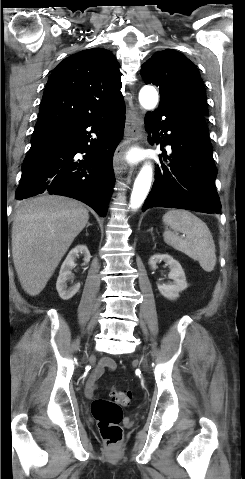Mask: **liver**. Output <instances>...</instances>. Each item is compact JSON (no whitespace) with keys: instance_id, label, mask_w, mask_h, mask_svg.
<instances>
[{"instance_id":"1","label":"liver","mask_w":245,"mask_h":479,"mask_svg":"<svg viewBox=\"0 0 245 479\" xmlns=\"http://www.w3.org/2000/svg\"><path fill=\"white\" fill-rule=\"evenodd\" d=\"M89 220L82 203L57 195L20 203L12 224V256L22 288L38 295Z\"/></svg>"}]
</instances>
